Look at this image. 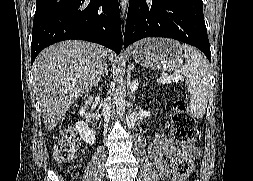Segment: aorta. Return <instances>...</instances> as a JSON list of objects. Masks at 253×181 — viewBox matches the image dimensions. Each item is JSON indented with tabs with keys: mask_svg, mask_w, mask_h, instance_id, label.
<instances>
[{
	"mask_svg": "<svg viewBox=\"0 0 253 181\" xmlns=\"http://www.w3.org/2000/svg\"><path fill=\"white\" fill-rule=\"evenodd\" d=\"M128 5H129V0H121L120 1V7H121V18H125L127 16V11H128ZM122 82V77L117 76V87L115 89V100H116V106L119 108V112H124V106H125V99L123 96L122 92V87L121 83ZM123 114H120V118H122Z\"/></svg>",
	"mask_w": 253,
	"mask_h": 181,
	"instance_id": "aorta-1",
	"label": "aorta"
}]
</instances>
